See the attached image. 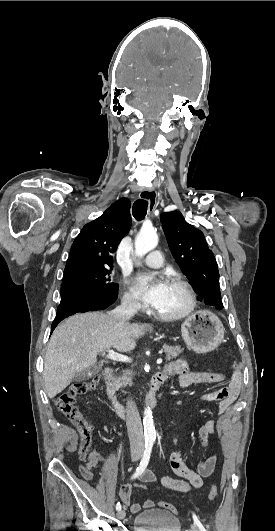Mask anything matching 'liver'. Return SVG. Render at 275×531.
Instances as JSON below:
<instances>
[{
    "label": "liver",
    "instance_id": "6515ba94",
    "mask_svg": "<svg viewBox=\"0 0 275 531\" xmlns=\"http://www.w3.org/2000/svg\"><path fill=\"white\" fill-rule=\"evenodd\" d=\"M111 313V311H109ZM109 313L73 315L56 327L47 347L44 383L49 399L62 393L76 373L91 369L110 347L127 353L136 347L146 325L117 321Z\"/></svg>",
    "mask_w": 275,
    "mask_h": 531
}]
</instances>
